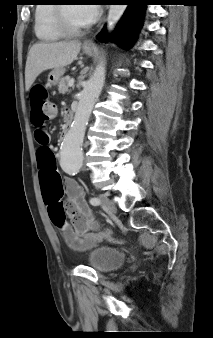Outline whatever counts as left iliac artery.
Masks as SVG:
<instances>
[{"label":"left iliac artery","instance_id":"44dca946","mask_svg":"<svg viewBox=\"0 0 213 338\" xmlns=\"http://www.w3.org/2000/svg\"><path fill=\"white\" fill-rule=\"evenodd\" d=\"M90 204L94 205V206H97L100 204V199L99 198H96V197H93L89 200Z\"/></svg>","mask_w":213,"mask_h":338}]
</instances>
